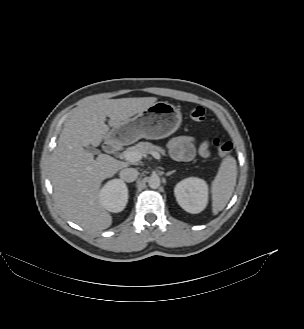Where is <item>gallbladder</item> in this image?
Returning <instances> with one entry per match:
<instances>
[{
	"instance_id": "bac80fb5",
	"label": "gallbladder",
	"mask_w": 304,
	"mask_h": 329,
	"mask_svg": "<svg viewBox=\"0 0 304 329\" xmlns=\"http://www.w3.org/2000/svg\"><path fill=\"white\" fill-rule=\"evenodd\" d=\"M85 150H86L87 152H89V153H92V154H98V153H99L98 149H96V148H94V147H90V146H87V147L85 148Z\"/></svg>"
}]
</instances>
